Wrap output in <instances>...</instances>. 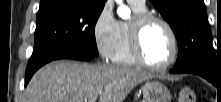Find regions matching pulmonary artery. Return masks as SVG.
<instances>
[{
  "instance_id": "pulmonary-artery-1",
  "label": "pulmonary artery",
  "mask_w": 221,
  "mask_h": 102,
  "mask_svg": "<svg viewBox=\"0 0 221 102\" xmlns=\"http://www.w3.org/2000/svg\"><path fill=\"white\" fill-rule=\"evenodd\" d=\"M128 2L137 7H145V0H128Z\"/></svg>"
}]
</instances>
